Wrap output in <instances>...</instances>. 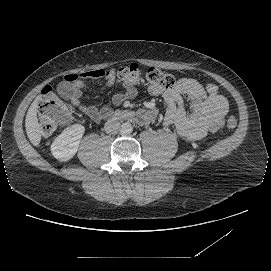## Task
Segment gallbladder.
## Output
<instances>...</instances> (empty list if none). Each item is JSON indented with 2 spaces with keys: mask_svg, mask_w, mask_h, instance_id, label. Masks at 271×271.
<instances>
[{
  "mask_svg": "<svg viewBox=\"0 0 271 271\" xmlns=\"http://www.w3.org/2000/svg\"><path fill=\"white\" fill-rule=\"evenodd\" d=\"M57 91H58L59 95L66 97V96L70 95L72 88H71L70 84L63 82V83L59 84Z\"/></svg>",
  "mask_w": 271,
  "mask_h": 271,
  "instance_id": "obj_1",
  "label": "gallbladder"
}]
</instances>
